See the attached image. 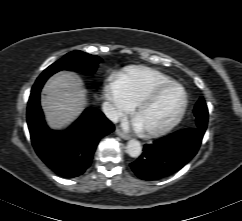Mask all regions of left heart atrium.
Instances as JSON below:
<instances>
[{
    "label": "left heart atrium",
    "mask_w": 242,
    "mask_h": 221,
    "mask_svg": "<svg viewBox=\"0 0 242 221\" xmlns=\"http://www.w3.org/2000/svg\"><path fill=\"white\" fill-rule=\"evenodd\" d=\"M133 125H134L135 129L142 130L141 126L139 125V123L136 120H134Z\"/></svg>",
    "instance_id": "obj_1"
}]
</instances>
